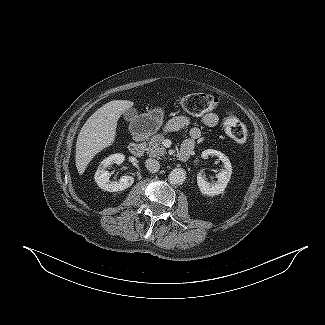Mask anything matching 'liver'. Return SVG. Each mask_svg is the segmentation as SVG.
<instances>
[{
  "label": "liver",
  "mask_w": 325,
  "mask_h": 325,
  "mask_svg": "<svg viewBox=\"0 0 325 325\" xmlns=\"http://www.w3.org/2000/svg\"><path fill=\"white\" fill-rule=\"evenodd\" d=\"M134 103L128 100H113L95 111L81 128L76 142L75 162L82 175L96 154L113 144L117 122Z\"/></svg>",
  "instance_id": "1"
}]
</instances>
